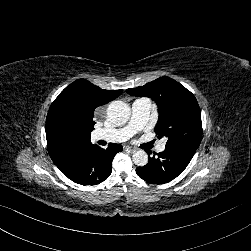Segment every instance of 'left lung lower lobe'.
Returning <instances> with one entry per match:
<instances>
[{
	"mask_svg": "<svg viewBox=\"0 0 251 251\" xmlns=\"http://www.w3.org/2000/svg\"><path fill=\"white\" fill-rule=\"evenodd\" d=\"M195 152V149L182 145H168L163 152L149 157L145 166L136 168V173L148 183H167L184 171Z\"/></svg>",
	"mask_w": 251,
	"mask_h": 251,
	"instance_id": "left-lung-lower-lobe-1",
	"label": "left lung lower lobe"
}]
</instances>
